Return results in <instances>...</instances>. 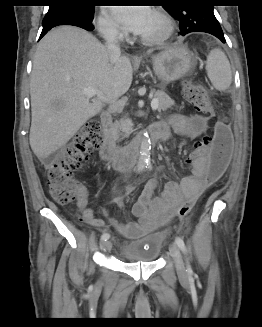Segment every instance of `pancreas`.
<instances>
[{
  "mask_svg": "<svg viewBox=\"0 0 262 327\" xmlns=\"http://www.w3.org/2000/svg\"><path fill=\"white\" fill-rule=\"evenodd\" d=\"M153 96L159 101L158 111H166L175 104L174 100L171 99L163 91H156L154 92ZM132 126L133 123L129 118L121 120L119 123L116 124V129L114 132L115 137H119L120 131L124 133L125 137L129 136V134L133 131Z\"/></svg>",
  "mask_w": 262,
  "mask_h": 327,
  "instance_id": "pancreas-1",
  "label": "pancreas"
}]
</instances>
